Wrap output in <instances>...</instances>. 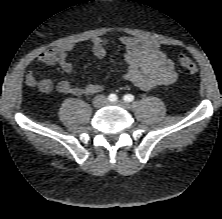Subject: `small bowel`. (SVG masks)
Listing matches in <instances>:
<instances>
[{
	"instance_id": "small-bowel-1",
	"label": "small bowel",
	"mask_w": 222,
	"mask_h": 219,
	"mask_svg": "<svg viewBox=\"0 0 222 219\" xmlns=\"http://www.w3.org/2000/svg\"><path fill=\"white\" fill-rule=\"evenodd\" d=\"M119 41L126 49L124 60L127 70L123 74L125 80L145 91L171 85L177 80L174 62L162 51L157 42L132 36H121ZM107 45L108 40L95 37L91 42V51L97 58H104ZM73 48L72 43H66L48 49L38 56L37 61L39 64H58L64 72L71 74L74 72V66L68 60V55ZM26 82L44 93L56 89L63 94L78 96L93 95L102 90V86L97 83L76 86L67 79L54 84L48 77L38 79L34 71L27 74Z\"/></svg>"
}]
</instances>
